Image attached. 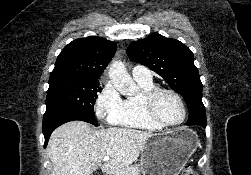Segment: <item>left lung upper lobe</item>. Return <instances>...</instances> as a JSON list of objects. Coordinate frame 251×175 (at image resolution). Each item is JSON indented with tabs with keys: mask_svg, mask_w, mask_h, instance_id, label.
<instances>
[{
	"mask_svg": "<svg viewBox=\"0 0 251 175\" xmlns=\"http://www.w3.org/2000/svg\"><path fill=\"white\" fill-rule=\"evenodd\" d=\"M127 54L163 77L173 90L183 96L188 106H204L202 83L193 53L182 42L152 33L145 39L132 42ZM200 126L205 128L206 123Z\"/></svg>",
	"mask_w": 251,
	"mask_h": 175,
	"instance_id": "obj_1",
	"label": "left lung upper lobe"
}]
</instances>
